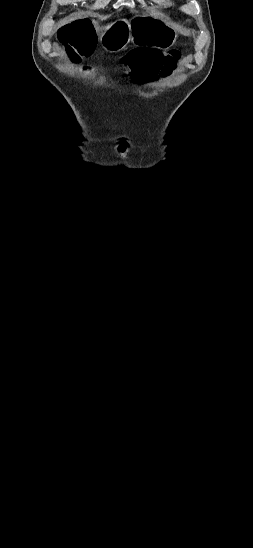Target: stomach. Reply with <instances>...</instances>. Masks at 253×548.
Instances as JSON below:
<instances>
[{"instance_id": "0dacf381", "label": "stomach", "mask_w": 253, "mask_h": 548, "mask_svg": "<svg viewBox=\"0 0 253 548\" xmlns=\"http://www.w3.org/2000/svg\"><path fill=\"white\" fill-rule=\"evenodd\" d=\"M176 32L163 21L150 16H137L132 22L120 18L112 23L100 36L101 46L108 52H119L130 43L172 45Z\"/></svg>"}]
</instances>
